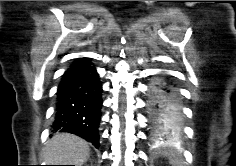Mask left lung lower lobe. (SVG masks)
Returning <instances> with one entry per match:
<instances>
[{
  "instance_id": "1",
  "label": "left lung lower lobe",
  "mask_w": 236,
  "mask_h": 166,
  "mask_svg": "<svg viewBox=\"0 0 236 166\" xmlns=\"http://www.w3.org/2000/svg\"><path fill=\"white\" fill-rule=\"evenodd\" d=\"M149 105L151 137L154 144L176 140L180 134L181 105L177 86L170 77L157 79L151 87Z\"/></svg>"
}]
</instances>
